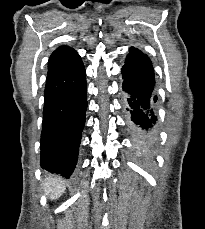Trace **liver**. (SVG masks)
I'll list each match as a JSON object with an SVG mask.
<instances>
[{
    "label": "liver",
    "instance_id": "1",
    "mask_svg": "<svg viewBox=\"0 0 205 229\" xmlns=\"http://www.w3.org/2000/svg\"><path fill=\"white\" fill-rule=\"evenodd\" d=\"M65 189V183L59 177L50 178L44 184V191L51 200L59 198Z\"/></svg>",
    "mask_w": 205,
    "mask_h": 229
}]
</instances>
